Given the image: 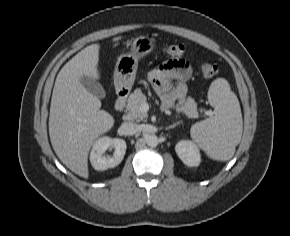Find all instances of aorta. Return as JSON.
Segmentation results:
<instances>
[{"mask_svg": "<svg viewBox=\"0 0 290 236\" xmlns=\"http://www.w3.org/2000/svg\"><path fill=\"white\" fill-rule=\"evenodd\" d=\"M146 143L150 147H156L159 143V139L155 134H152V135L147 136Z\"/></svg>", "mask_w": 290, "mask_h": 236, "instance_id": "obj_1", "label": "aorta"}]
</instances>
